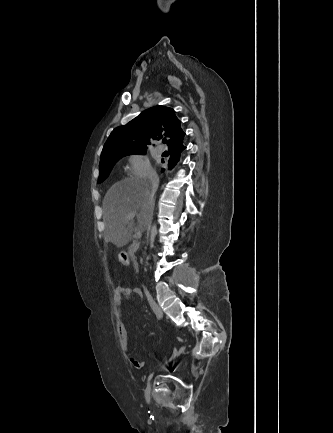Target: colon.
Instances as JSON below:
<instances>
[{
  "label": "colon",
  "mask_w": 333,
  "mask_h": 433,
  "mask_svg": "<svg viewBox=\"0 0 333 433\" xmlns=\"http://www.w3.org/2000/svg\"><path fill=\"white\" fill-rule=\"evenodd\" d=\"M115 255L118 259L119 264L123 265V267H128V261L127 258L125 257L126 252L124 249H117L115 252Z\"/></svg>",
  "instance_id": "obj_1"
}]
</instances>
